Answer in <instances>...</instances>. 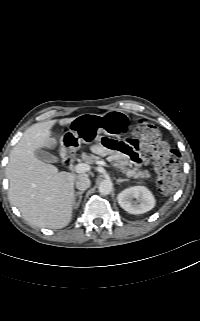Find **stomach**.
<instances>
[{
	"label": "stomach",
	"mask_w": 200,
	"mask_h": 321,
	"mask_svg": "<svg viewBox=\"0 0 200 321\" xmlns=\"http://www.w3.org/2000/svg\"><path fill=\"white\" fill-rule=\"evenodd\" d=\"M130 129L129 116L118 110L108 111L103 115L82 114L70 123L69 131L61 138L63 147L69 151L77 150L82 143H90L98 134L118 136Z\"/></svg>",
	"instance_id": "0dacf381"
}]
</instances>
